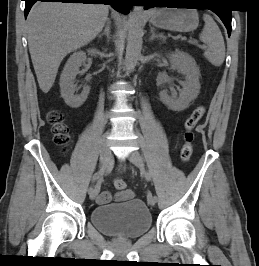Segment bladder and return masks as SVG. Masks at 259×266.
<instances>
[{
	"label": "bladder",
	"mask_w": 259,
	"mask_h": 266,
	"mask_svg": "<svg viewBox=\"0 0 259 266\" xmlns=\"http://www.w3.org/2000/svg\"><path fill=\"white\" fill-rule=\"evenodd\" d=\"M90 221L107 236L136 239L150 230L152 215L142 200L132 198L121 204L95 207L90 213Z\"/></svg>",
	"instance_id": "obj_1"
}]
</instances>
